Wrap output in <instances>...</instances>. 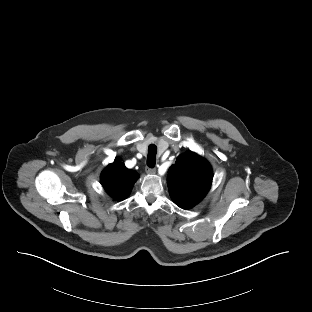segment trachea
<instances>
[{
	"label": "trachea",
	"mask_w": 312,
	"mask_h": 312,
	"mask_svg": "<svg viewBox=\"0 0 312 312\" xmlns=\"http://www.w3.org/2000/svg\"><path fill=\"white\" fill-rule=\"evenodd\" d=\"M157 147L154 144H150L148 147L147 165L151 168L155 166L156 163Z\"/></svg>",
	"instance_id": "3493384b"
}]
</instances>
